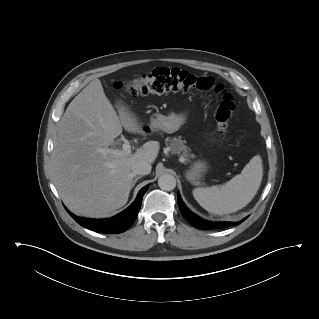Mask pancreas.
I'll use <instances>...</instances> for the list:
<instances>
[{"mask_svg":"<svg viewBox=\"0 0 319 319\" xmlns=\"http://www.w3.org/2000/svg\"><path fill=\"white\" fill-rule=\"evenodd\" d=\"M166 142H169L171 154L180 155L183 162L187 163L190 162L191 158H195V155L191 153V149L184 144L185 141L181 137L166 138Z\"/></svg>","mask_w":319,"mask_h":319,"instance_id":"1","label":"pancreas"}]
</instances>
